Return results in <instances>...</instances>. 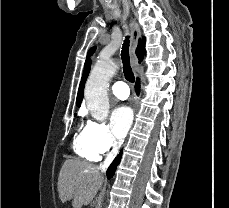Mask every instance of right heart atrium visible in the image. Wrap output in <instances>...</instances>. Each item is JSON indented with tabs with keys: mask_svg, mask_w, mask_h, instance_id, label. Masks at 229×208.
<instances>
[{
	"mask_svg": "<svg viewBox=\"0 0 229 208\" xmlns=\"http://www.w3.org/2000/svg\"><path fill=\"white\" fill-rule=\"evenodd\" d=\"M84 138L86 144L98 155H102L119 145V141L115 139L109 126L95 120L87 121L84 128Z\"/></svg>",
	"mask_w": 229,
	"mask_h": 208,
	"instance_id": "d8ad5b80",
	"label": "right heart atrium"
}]
</instances>
